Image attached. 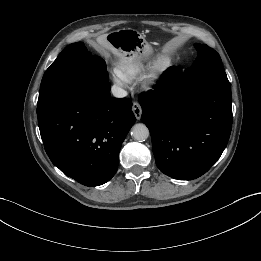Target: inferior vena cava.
Segmentation results:
<instances>
[{"label": "inferior vena cava", "instance_id": "602c4592", "mask_svg": "<svg viewBox=\"0 0 261 261\" xmlns=\"http://www.w3.org/2000/svg\"><path fill=\"white\" fill-rule=\"evenodd\" d=\"M111 91H112V94L114 95V97H117V98H124L127 96V92L122 89L121 87L119 86H112L111 88Z\"/></svg>", "mask_w": 261, "mask_h": 261}]
</instances>
